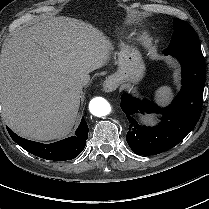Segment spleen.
<instances>
[{
  "label": "spleen",
  "mask_w": 209,
  "mask_h": 209,
  "mask_svg": "<svg viewBox=\"0 0 209 209\" xmlns=\"http://www.w3.org/2000/svg\"><path fill=\"white\" fill-rule=\"evenodd\" d=\"M173 92L170 86L163 85L156 89L155 97L161 102H168L172 96Z\"/></svg>",
  "instance_id": "1"
}]
</instances>
